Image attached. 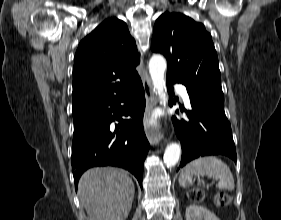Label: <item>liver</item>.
I'll use <instances>...</instances> for the list:
<instances>
[{
  "label": "liver",
  "instance_id": "obj_1",
  "mask_svg": "<svg viewBox=\"0 0 281 220\" xmlns=\"http://www.w3.org/2000/svg\"><path fill=\"white\" fill-rule=\"evenodd\" d=\"M134 191L128 173L113 167L91 168L83 173L78 184V196L89 220H125Z\"/></svg>",
  "mask_w": 281,
  "mask_h": 220
}]
</instances>
